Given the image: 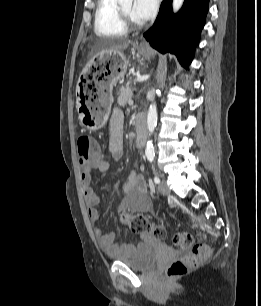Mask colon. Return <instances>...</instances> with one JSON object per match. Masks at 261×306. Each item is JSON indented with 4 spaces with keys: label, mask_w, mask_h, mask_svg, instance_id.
<instances>
[{
    "label": "colon",
    "mask_w": 261,
    "mask_h": 306,
    "mask_svg": "<svg viewBox=\"0 0 261 306\" xmlns=\"http://www.w3.org/2000/svg\"><path fill=\"white\" fill-rule=\"evenodd\" d=\"M78 161L85 167L102 160V151L98 144L94 143L90 136L82 135L77 140ZM121 222L131 231L138 234H150L157 239H164L167 235L165 229L150 222L143 215L122 214ZM194 239L191 233L179 231L173 236V244L180 250H188L180 258L174 259L167 268L170 278L184 275L188 270L204 263L210 255V247L206 244L193 245Z\"/></svg>",
    "instance_id": "1"
}]
</instances>
